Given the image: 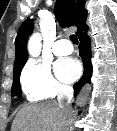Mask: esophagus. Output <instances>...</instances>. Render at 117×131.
Segmentation results:
<instances>
[{"mask_svg":"<svg viewBox=\"0 0 117 131\" xmlns=\"http://www.w3.org/2000/svg\"><path fill=\"white\" fill-rule=\"evenodd\" d=\"M80 99H81V100H84V97H81Z\"/></svg>","mask_w":117,"mask_h":131,"instance_id":"esophagus-1","label":"esophagus"}]
</instances>
